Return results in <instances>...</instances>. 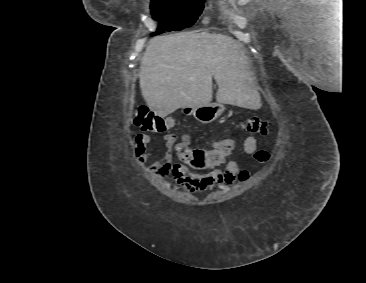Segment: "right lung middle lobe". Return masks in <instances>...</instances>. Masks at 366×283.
Returning a JSON list of instances; mask_svg holds the SVG:
<instances>
[{
	"mask_svg": "<svg viewBox=\"0 0 366 283\" xmlns=\"http://www.w3.org/2000/svg\"><path fill=\"white\" fill-rule=\"evenodd\" d=\"M204 0H152V16L160 21L156 33L176 31L191 26L202 12Z\"/></svg>",
	"mask_w": 366,
	"mask_h": 283,
	"instance_id": "right-lung-middle-lobe-1",
	"label": "right lung middle lobe"
}]
</instances>
